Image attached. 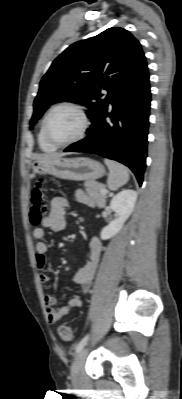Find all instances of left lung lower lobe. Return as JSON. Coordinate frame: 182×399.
I'll return each instance as SVG.
<instances>
[{"mask_svg":"<svg viewBox=\"0 0 182 399\" xmlns=\"http://www.w3.org/2000/svg\"><path fill=\"white\" fill-rule=\"evenodd\" d=\"M151 93L147 63L110 97L107 108L87 129V137L64 151L87 152L128 166L142 185L146 168ZM108 103V104H109ZM110 118L107 120L106 118Z\"/></svg>","mask_w":182,"mask_h":399,"instance_id":"left-lung-lower-lobe-1","label":"left lung lower lobe"}]
</instances>
